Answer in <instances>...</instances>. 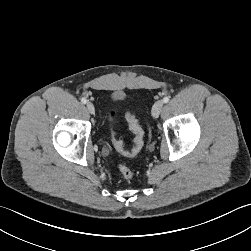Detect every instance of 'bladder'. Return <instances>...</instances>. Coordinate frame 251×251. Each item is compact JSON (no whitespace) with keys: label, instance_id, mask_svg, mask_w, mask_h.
<instances>
[{"label":"bladder","instance_id":"31cf9c89","mask_svg":"<svg viewBox=\"0 0 251 251\" xmlns=\"http://www.w3.org/2000/svg\"><path fill=\"white\" fill-rule=\"evenodd\" d=\"M123 97L122 93L120 92H114L111 94L110 96V103L111 104H115L117 103L119 100H121ZM111 111H109V114H110Z\"/></svg>","mask_w":251,"mask_h":251}]
</instances>
